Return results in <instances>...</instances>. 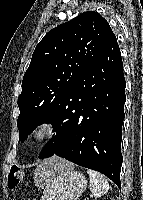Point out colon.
<instances>
[{
	"mask_svg": "<svg viewBox=\"0 0 143 200\" xmlns=\"http://www.w3.org/2000/svg\"><path fill=\"white\" fill-rule=\"evenodd\" d=\"M23 176L24 173L19 167L12 166L8 174V187L10 189L17 188L21 183Z\"/></svg>",
	"mask_w": 143,
	"mask_h": 200,
	"instance_id": "colon-1",
	"label": "colon"
}]
</instances>
